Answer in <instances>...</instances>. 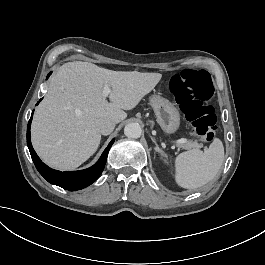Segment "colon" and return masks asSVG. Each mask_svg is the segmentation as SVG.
I'll use <instances>...</instances> for the list:
<instances>
[{"mask_svg":"<svg viewBox=\"0 0 265 265\" xmlns=\"http://www.w3.org/2000/svg\"><path fill=\"white\" fill-rule=\"evenodd\" d=\"M169 90L180 101L191 131L203 142L212 141L217 124L211 103L215 88L210 77L196 68L186 67L172 77Z\"/></svg>","mask_w":265,"mask_h":265,"instance_id":"obj_1","label":"colon"}]
</instances>
